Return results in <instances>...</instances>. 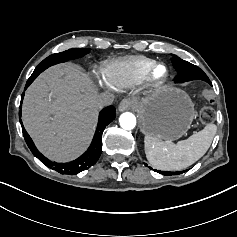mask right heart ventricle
Returning <instances> with one entry per match:
<instances>
[{
    "label": "right heart ventricle",
    "instance_id": "obj_1",
    "mask_svg": "<svg viewBox=\"0 0 237 237\" xmlns=\"http://www.w3.org/2000/svg\"><path fill=\"white\" fill-rule=\"evenodd\" d=\"M152 63L153 60L146 57H128L109 61L102 70L115 87L124 89L140 82Z\"/></svg>",
    "mask_w": 237,
    "mask_h": 237
}]
</instances>
